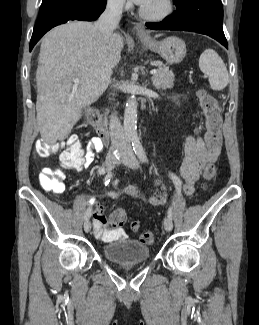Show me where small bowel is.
<instances>
[{"instance_id":"c3829d8e","label":"small bowel","mask_w":259,"mask_h":325,"mask_svg":"<svg viewBox=\"0 0 259 325\" xmlns=\"http://www.w3.org/2000/svg\"><path fill=\"white\" fill-rule=\"evenodd\" d=\"M104 143L99 137H92L88 140L85 150L81 158L76 161L70 168L81 171L84 167L92 164L94 153L103 149ZM220 153V146L216 149H209L206 143L198 136V134L189 135L184 142V156L181 161L178 175L183 179V191L185 195H192L195 190V184L199 180L201 174L206 167L213 165ZM155 185L160 186L164 190L162 197H149L148 201L152 205H161L166 202L165 186L160 180H154ZM125 193L131 196H138L139 189L136 185H128ZM108 196L112 199L118 198V193L108 192ZM93 203V201H92ZM107 218L102 205H96L93 215V225L95 236L102 241H111L114 239H125L127 233L122 228H106Z\"/></svg>"}]
</instances>
